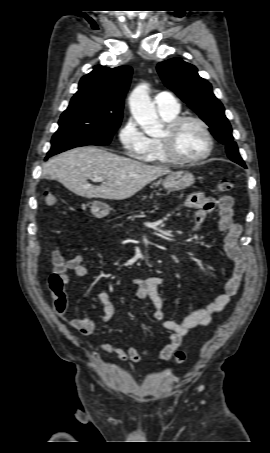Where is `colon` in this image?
Instances as JSON below:
<instances>
[{"label":"colon","instance_id":"5ec220e1","mask_svg":"<svg viewBox=\"0 0 270 453\" xmlns=\"http://www.w3.org/2000/svg\"><path fill=\"white\" fill-rule=\"evenodd\" d=\"M234 188V184L228 180H222L218 183L219 192H230ZM45 203L49 207L58 206V198L53 193H45ZM49 288L52 293L54 309L63 313L68 307V297L64 288V283L61 277L57 273H53L49 278ZM187 358V352L178 351L175 354V361L177 363H183Z\"/></svg>","mask_w":270,"mask_h":453}]
</instances>
